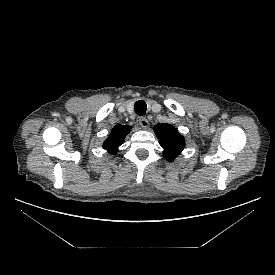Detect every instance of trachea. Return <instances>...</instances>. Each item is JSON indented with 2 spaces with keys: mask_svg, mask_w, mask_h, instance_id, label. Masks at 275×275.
Returning <instances> with one entry per match:
<instances>
[{
  "mask_svg": "<svg viewBox=\"0 0 275 275\" xmlns=\"http://www.w3.org/2000/svg\"><path fill=\"white\" fill-rule=\"evenodd\" d=\"M146 110H147V105H146L145 101L139 100L135 103L134 111L136 112L137 115H139V116L145 115Z\"/></svg>",
  "mask_w": 275,
  "mask_h": 275,
  "instance_id": "obj_1",
  "label": "trachea"
}]
</instances>
